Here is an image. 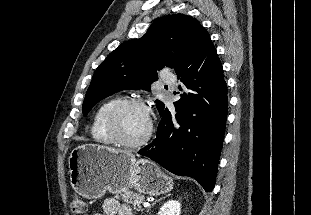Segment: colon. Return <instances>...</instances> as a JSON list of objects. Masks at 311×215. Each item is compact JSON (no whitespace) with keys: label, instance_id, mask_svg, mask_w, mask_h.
<instances>
[{"label":"colon","instance_id":"1","mask_svg":"<svg viewBox=\"0 0 311 215\" xmlns=\"http://www.w3.org/2000/svg\"><path fill=\"white\" fill-rule=\"evenodd\" d=\"M70 207H71L72 213L77 214V215L85 214L87 211L86 202L79 196H74L72 198Z\"/></svg>","mask_w":311,"mask_h":215}]
</instances>
